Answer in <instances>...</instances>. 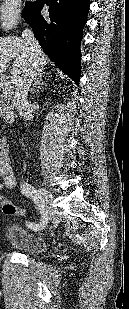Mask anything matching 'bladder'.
Wrapping results in <instances>:
<instances>
[{"mask_svg":"<svg viewBox=\"0 0 129 309\" xmlns=\"http://www.w3.org/2000/svg\"><path fill=\"white\" fill-rule=\"evenodd\" d=\"M5 239L13 249L24 254H39L48 246L43 236L32 233L18 222H10L7 225Z\"/></svg>","mask_w":129,"mask_h":309,"instance_id":"bladder-1","label":"bladder"}]
</instances>
